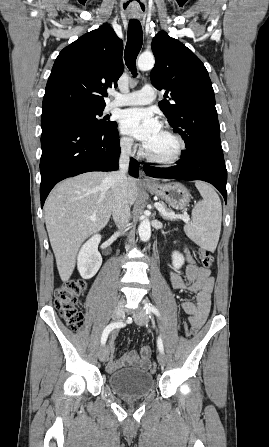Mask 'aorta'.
Listing matches in <instances>:
<instances>
[{"label":"aorta","instance_id":"1","mask_svg":"<svg viewBox=\"0 0 269 447\" xmlns=\"http://www.w3.org/2000/svg\"><path fill=\"white\" fill-rule=\"evenodd\" d=\"M155 60L153 54H141L137 60V68L141 70V72H147V70H152L154 68ZM143 220L140 222L138 227L139 235L142 241H148L151 237V225L146 218V216H142Z\"/></svg>","mask_w":269,"mask_h":447}]
</instances>
